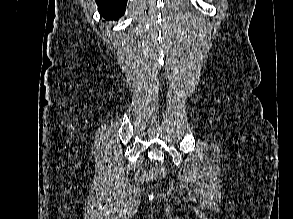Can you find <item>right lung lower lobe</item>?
Segmentation results:
<instances>
[{
	"label": "right lung lower lobe",
	"mask_w": 293,
	"mask_h": 219,
	"mask_svg": "<svg viewBox=\"0 0 293 219\" xmlns=\"http://www.w3.org/2000/svg\"><path fill=\"white\" fill-rule=\"evenodd\" d=\"M100 14L108 20L119 18L125 12L127 0H96Z\"/></svg>",
	"instance_id": "98d812e1"
}]
</instances>
